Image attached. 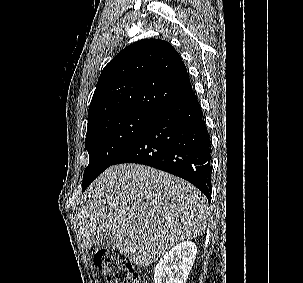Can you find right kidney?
<instances>
[{
    "mask_svg": "<svg viewBox=\"0 0 303 283\" xmlns=\"http://www.w3.org/2000/svg\"><path fill=\"white\" fill-rule=\"evenodd\" d=\"M197 247L194 242L184 241L159 260L154 268L155 283H185L194 264Z\"/></svg>",
    "mask_w": 303,
    "mask_h": 283,
    "instance_id": "right-kidney-1",
    "label": "right kidney"
}]
</instances>
